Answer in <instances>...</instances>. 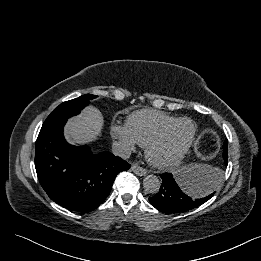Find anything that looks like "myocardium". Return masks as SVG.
Wrapping results in <instances>:
<instances>
[{
	"mask_svg": "<svg viewBox=\"0 0 261 261\" xmlns=\"http://www.w3.org/2000/svg\"><path fill=\"white\" fill-rule=\"evenodd\" d=\"M181 122H188L192 126V131L187 140L186 144L183 148L172 158L170 159H158L155 154V148L164 140L167 134L179 123ZM197 133V126L196 124L189 118L182 117L177 118L176 120L172 121L171 123L167 124L163 127L157 134H155L145 145V156L147 161L155 168L158 169H170L176 165H178L187 155L190 148L192 147L195 137Z\"/></svg>",
	"mask_w": 261,
	"mask_h": 261,
	"instance_id": "1",
	"label": "myocardium"
}]
</instances>
